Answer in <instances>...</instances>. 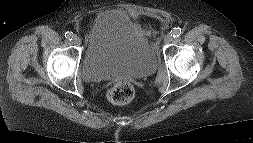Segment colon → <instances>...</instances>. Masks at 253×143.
Returning a JSON list of instances; mask_svg holds the SVG:
<instances>
[{
  "label": "colon",
  "instance_id": "1",
  "mask_svg": "<svg viewBox=\"0 0 253 143\" xmlns=\"http://www.w3.org/2000/svg\"><path fill=\"white\" fill-rule=\"evenodd\" d=\"M134 87L127 81H117L107 90V98L111 103L123 105L134 98Z\"/></svg>",
  "mask_w": 253,
  "mask_h": 143
}]
</instances>
